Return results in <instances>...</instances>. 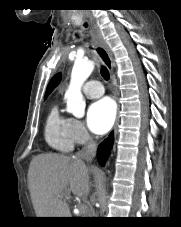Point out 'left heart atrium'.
Instances as JSON below:
<instances>
[{"label":"left heart atrium","mask_w":181,"mask_h":227,"mask_svg":"<svg viewBox=\"0 0 181 227\" xmlns=\"http://www.w3.org/2000/svg\"><path fill=\"white\" fill-rule=\"evenodd\" d=\"M116 116L115 105L109 98L92 103L87 112V124L95 134H104L112 127Z\"/></svg>","instance_id":"39dd6f15"}]
</instances>
